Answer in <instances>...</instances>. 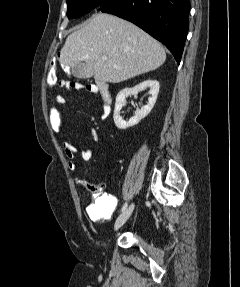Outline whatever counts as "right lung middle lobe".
<instances>
[{
    "instance_id": "1",
    "label": "right lung middle lobe",
    "mask_w": 240,
    "mask_h": 287,
    "mask_svg": "<svg viewBox=\"0 0 240 287\" xmlns=\"http://www.w3.org/2000/svg\"><path fill=\"white\" fill-rule=\"evenodd\" d=\"M106 0H67L68 18L80 17L92 9L99 7Z\"/></svg>"
}]
</instances>
